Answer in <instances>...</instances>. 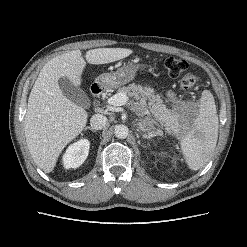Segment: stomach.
Returning a JSON list of instances; mask_svg holds the SVG:
<instances>
[{
  "instance_id": "1",
  "label": "stomach",
  "mask_w": 247,
  "mask_h": 247,
  "mask_svg": "<svg viewBox=\"0 0 247 247\" xmlns=\"http://www.w3.org/2000/svg\"><path fill=\"white\" fill-rule=\"evenodd\" d=\"M138 70L139 66L128 63L119 68L116 72L101 74L95 82L105 89L119 88L122 85L132 81L135 78ZM167 95L170 99L175 100V95L173 92L169 91ZM174 120L175 126L170 127L168 130L175 133L177 136L184 137V134L191 129L193 122L177 115H174ZM150 127L151 125L147 120L142 121L141 128L145 133H149L151 130Z\"/></svg>"
}]
</instances>
